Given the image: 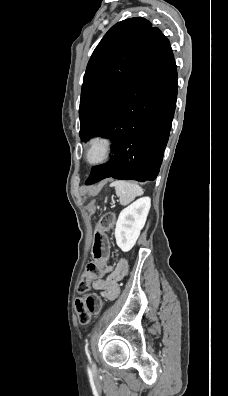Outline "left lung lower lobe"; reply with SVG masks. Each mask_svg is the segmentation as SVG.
I'll use <instances>...</instances> for the list:
<instances>
[{
    "mask_svg": "<svg viewBox=\"0 0 228 396\" xmlns=\"http://www.w3.org/2000/svg\"><path fill=\"white\" fill-rule=\"evenodd\" d=\"M177 87L172 49L161 33L101 134L113 140L114 156L92 168L86 185L108 177L141 182L156 179L169 138Z\"/></svg>",
    "mask_w": 228,
    "mask_h": 396,
    "instance_id": "0a47b994",
    "label": "left lung lower lobe"
}]
</instances>
